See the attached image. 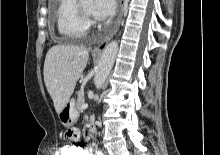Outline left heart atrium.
I'll return each instance as SVG.
<instances>
[{
	"instance_id": "left-heart-atrium-1",
	"label": "left heart atrium",
	"mask_w": 220,
	"mask_h": 155,
	"mask_svg": "<svg viewBox=\"0 0 220 155\" xmlns=\"http://www.w3.org/2000/svg\"><path fill=\"white\" fill-rule=\"evenodd\" d=\"M116 7V0H94L92 13L99 19H106L114 14Z\"/></svg>"
}]
</instances>
